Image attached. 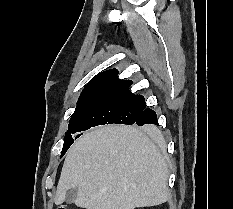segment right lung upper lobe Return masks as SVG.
Listing matches in <instances>:
<instances>
[{"label":"right lung upper lobe","mask_w":233,"mask_h":209,"mask_svg":"<svg viewBox=\"0 0 233 209\" xmlns=\"http://www.w3.org/2000/svg\"><path fill=\"white\" fill-rule=\"evenodd\" d=\"M131 80L118 78V70L110 69L94 76L83 89L77 107L100 102L144 103L142 95L130 91Z\"/></svg>","instance_id":"1"}]
</instances>
